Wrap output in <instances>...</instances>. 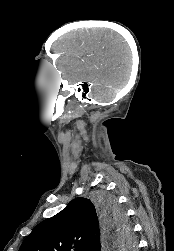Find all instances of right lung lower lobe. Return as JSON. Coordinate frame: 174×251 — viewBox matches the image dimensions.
Segmentation results:
<instances>
[{
	"label": "right lung lower lobe",
	"mask_w": 174,
	"mask_h": 251,
	"mask_svg": "<svg viewBox=\"0 0 174 251\" xmlns=\"http://www.w3.org/2000/svg\"><path fill=\"white\" fill-rule=\"evenodd\" d=\"M103 229H104V231H105V233H104V239H103V241H102V247H103V249L105 248V245H106V242L108 241V238H109V236H110V233H111V231L110 230H108V228L106 227V225L104 224L103 225Z\"/></svg>",
	"instance_id": "right-lung-lower-lobe-1"
}]
</instances>
